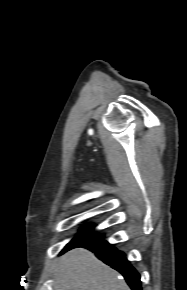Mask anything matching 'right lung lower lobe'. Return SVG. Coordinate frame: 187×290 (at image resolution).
<instances>
[{
  "label": "right lung lower lobe",
  "mask_w": 187,
  "mask_h": 290,
  "mask_svg": "<svg viewBox=\"0 0 187 290\" xmlns=\"http://www.w3.org/2000/svg\"><path fill=\"white\" fill-rule=\"evenodd\" d=\"M76 247H84L89 249L95 253L100 260L104 261L106 264L119 271L124 276L127 284L131 287L132 290H142L139 273L125 258V254L122 251H118L115 247L105 241L103 237L90 242L72 246L69 249Z\"/></svg>",
  "instance_id": "98d812e1"
}]
</instances>
